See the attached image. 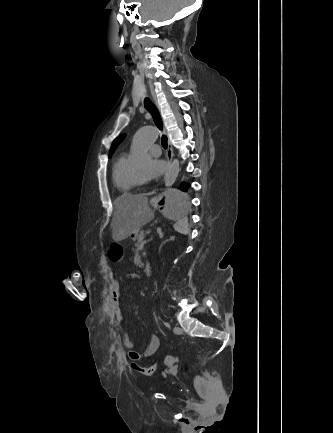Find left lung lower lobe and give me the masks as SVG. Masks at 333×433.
Wrapping results in <instances>:
<instances>
[{"instance_id":"1","label":"left lung lower lobe","mask_w":333,"mask_h":433,"mask_svg":"<svg viewBox=\"0 0 333 433\" xmlns=\"http://www.w3.org/2000/svg\"><path fill=\"white\" fill-rule=\"evenodd\" d=\"M191 185L187 182H182L180 185V189L182 191H187V189L190 187ZM166 207L168 208V210L173 211L178 207V202L176 200L175 197L170 198L167 202H166Z\"/></svg>"}]
</instances>
